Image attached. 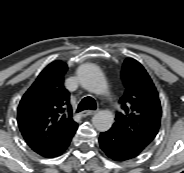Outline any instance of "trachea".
I'll use <instances>...</instances> for the list:
<instances>
[{
  "label": "trachea",
  "instance_id": "3493384b",
  "mask_svg": "<svg viewBox=\"0 0 184 173\" xmlns=\"http://www.w3.org/2000/svg\"><path fill=\"white\" fill-rule=\"evenodd\" d=\"M97 108V104L95 100L92 97H85L81 100V102L78 105L77 112H81L83 110H95Z\"/></svg>",
  "mask_w": 184,
  "mask_h": 173
}]
</instances>
